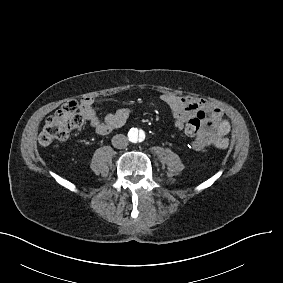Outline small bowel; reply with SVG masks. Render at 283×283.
<instances>
[{"label": "small bowel", "mask_w": 283, "mask_h": 283, "mask_svg": "<svg viewBox=\"0 0 283 283\" xmlns=\"http://www.w3.org/2000/svg\"><path fill=\"white\" fill-rule=\"evenodd\" d=\"M160 99L171 111L175 119V126L181 131V124L176 119L179 106L183 103H190L194 106V118L201 121L206 129L203 139L191 142L190 146L194 151H202L210 146L225 149L230 145L231 123L219 106L203 97L192 95L164 93ZM96 102L95 97H85L80 101V109L89 125L100 135H106L121 128L130 118V110L121 108L101 119L95 108Z\"/></svg>", "instance_id": "1"}]
</instances>
